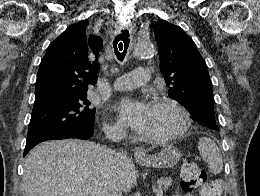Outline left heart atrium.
Instances as JSON below:
<instances>
[{"instance_id":"39dd6f15","label":"left heart atrium","mask_w":260,"mask_h":196,"mask_svg":"<svg viewBox=\"0 0 260 196\" xmlns=\"http://www.w3.org/2000/svg\"><path fill=\"white\" fill-rule=\"evenodd\" d=\"M118 112L124 124L131 129L143 133L147 130L150 115L151 104L145 101H132L123 99L118 104ZM119 190H91L90 192H118Z\"/></svg>"}]
</instances>
